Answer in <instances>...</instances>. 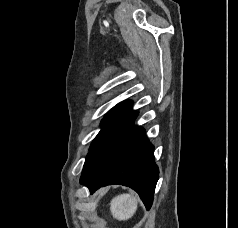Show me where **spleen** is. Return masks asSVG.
Masks as SVG:
<instances>
[{
    "label": "spleen",
    "instance_id": "spleen-1",
    "mask_svg": "<svg viewBox=\"0 0 238 228\" xmlns=\"http://www.w3.org/2000/svg\"><path fill=\"white\" fill-rule=\"evenodd\" d=\"M139 197L133 193H123L114 197L110 202V211L114 219L125 221L136 212Z\"/></svg>",
    "mask_w": 238,
    "mask_h": 228
}]
</instances>
